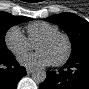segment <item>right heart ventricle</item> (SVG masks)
<instances>
[{
	"instance_id": "obj_1",
	"label": "right heart ventricle",
	"mask_w": 89,
	"mask_h": 89,
	"mask_svg": "<svg viewBox=\"0 0 89 89\" xmlns=\"http://www.w3.org/2000/svg\"><path fill=\"white\" fill-rule=\"evenodd\" d=\"M57 31L58 27L48 22H34L27 26L28 39L33 45L41 37Z\"/></svg>"
}]
</instances>
